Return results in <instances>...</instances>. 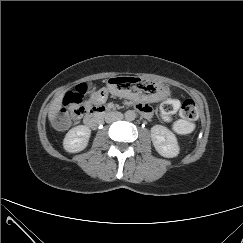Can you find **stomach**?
I'll return each instance as SVG.
<instances>
[{"label": "stomach", "mask_w": 243, "mask_h": 243, "mask_svg": "<svg viewBox=\"0 0 243 243\" xmlns=\"http://www.w3.org/2000/svg\"><path fill=\"white\" fill-rule=\"evenodd\" d=\"M109 86L112 91L131 99L159 101L168 95L163 86L153 84L139 77L116 76L110 79Z\"/></svg>", "instance_id": "1"}]
</instances>
